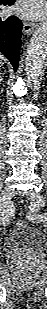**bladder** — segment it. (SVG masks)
Wrapping results in <instances>:
<instances>
[{
	"label": "bladder",
	"instance_id": "1",
	"mask_svg": "<svg viewBox=\"0 0 47 309\" xmlns=\"http://www.w3.org/2000/svg\"><path fill=\"white\" fill-rule=\"evenodd\" d=\"M45 244V234L24 223L5 236L3 248L8 253H29L40 251Z\"/></svg>",
	"mask_w": 47,
	"mask_h": 309
}]
</instances>
